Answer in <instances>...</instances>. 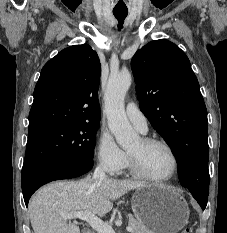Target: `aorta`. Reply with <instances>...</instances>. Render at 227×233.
Listing matches in <instances>:
<instances>
[{
    "label": "aorta",
    "mask_w": 227,
    "mask_h": 233,
    "mask_svg": "<svg viewBox=\"0 0 227 233\" xmlns=\"http://www.w3.org/2000/svg\"><path fill=\"white\" fill-rule=\"evenodd\" d=\"M132 76L128 71L111 74L105 92V114L110 131L117 143L127 148L138 137L125 113L124 99L131 85Z\"/></svg>",
    "instance_id": "obj_1"
}]
</instances>
